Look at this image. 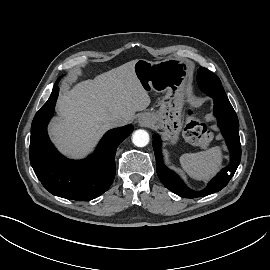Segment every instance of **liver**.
I'll return each instance as SVG.
<instances>
[{
    "label": "liver",
    "mask_w": 270,
    "mask_h": 270,
    "mask_svg": "<svg viewBox=\"0 0 270 270\" xmlns=\"http://www.w3.org/2000/svg\"><path fill=\"white\" fill-rule=\"evenodd\" d=\"M136 61L82 81L59 97L60 119L51 123L49 131L64 154L86 155L112 128V117L120 116L127 124L136 111L149 106L150 97L134 72Z\"/></svg>",
    "instance_id": "obj_1"
}]
</instances>
